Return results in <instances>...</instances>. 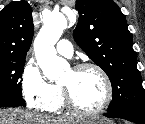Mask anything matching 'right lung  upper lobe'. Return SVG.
<instances>
[{"label": "right lung upper lobe", "instance_id": "cb5924a9", "mask_svg": "<svg viewBox=\"0 0 145 124\" xmlns=\"http://www.w3.org/2000/svg\"><path fill=\"white\" fill-rule=\"evenodd\" d=\"M34 34L32 9L14 1L0 12V58H26Z\"/></svg>", "mask_w": 145, "mask_h": 124}]
</instances>
